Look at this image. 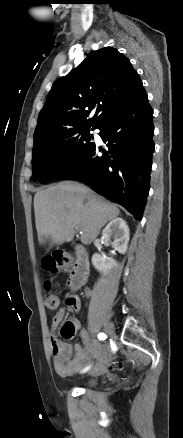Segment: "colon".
I'll list each match as a JSON object with an SVG mask.
<instances>
[{
	"label": "colon",
	"mask_w": 183,
	"mask_h": 438,
	"mask_svg": "<svg viewBox=\"0 0 183 438\" xmlns=\"http://www.w3.org/2000/svg\"><path fill=\"white\" fill-rule=\"evenodd\" d=\"M71 261V256L66 252H56L51 256L43 259L42 266L44 270L55 273L64 269ZM75 297H70L68 301H74ZM60 304L59 296L54 293L49 287L46 289L45 293V307L48 311H54L58 308ZM76 332L75 326L72 322L67 321L61 328V335L66 339H71L74 337ZM117 367L121 366V362H116Z\"/></svg>",
	"instance_id": "5ec220e1"
}]
</instances>
